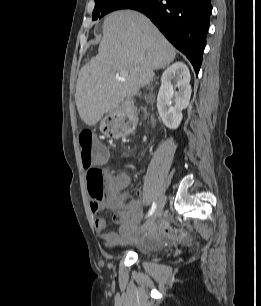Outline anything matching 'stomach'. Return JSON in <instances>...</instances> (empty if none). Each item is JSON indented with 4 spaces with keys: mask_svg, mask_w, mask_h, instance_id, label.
I'll use <instances>...</instances> for the list:
<instances>
[{
    "mask_svg": "<svg viewBox=\"0 0 261 306\" xmlns=\"http://www.w3.org/2000/svg\"><path fill=\"white\" fill-rule=\"evenodd\" d=\"M118 125L114 129V135L121 137L132 133L136 126V119L134 116L126 112H120L117 116Z\"/></svg>",
    "mask_w": 261,
    "mask_h": 306,
    "instance_id": "obj_1",
    "label": "stomach"
}]
</instances>
